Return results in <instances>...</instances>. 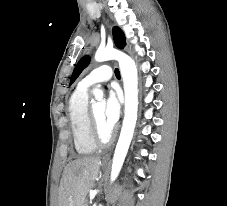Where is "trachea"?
Here are the masks:
<instances>
[{
  "mask_svg": "<svg viewBox=\"0 0 227 206\" xmlns=\"http://www.w3.org/2000/svg\"><path fill=\"white\" fill-rule=\"evenodd\" d=\"M115 75L117 78H120V71L117 68L115 69Z\"/></svg>",
  "mask_w": 227,
  "mask_h": 206,
  "instance_id": "obj_1",
  "label": "trachea"
}]
</instances>
